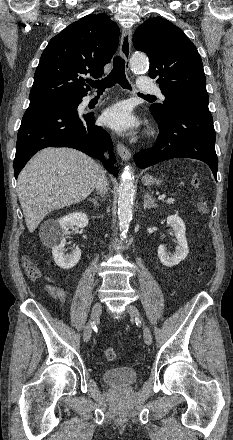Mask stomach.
<instances>
[{
  "label": "stomach",
  "instance_id": "obj_1",
  "mask_svg": "<svg viewBox=\"0 0 233 440\" xmlns=\"http://www.w3.org/2000/svg\"><path fill=\"white\" fill-rule=\"evenodd\" d=\"M142 182H143L144 185H151V184H154V183H156L157 185H160V183H161V181L156 180L155 178H153L150 175L143 176Z\"/></svg>",
  "mask_w": 233,
  "mask_h": 440
}]
</instances>
